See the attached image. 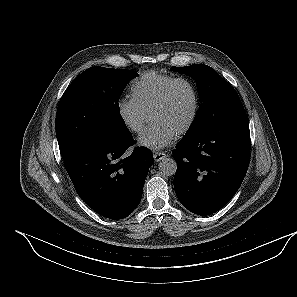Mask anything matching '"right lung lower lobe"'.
<instances>
[{"mask_svg": "<svg viewBox=\"0 0 297 297\" xmlns=\"http://www.w3.org/2000/svg\"><path fill=\"white\" fill-rule=\"evenodd\" d=\"M131 133L101 137L79 147L64 159L65 168L82 200L100 215L117 220L127 217L140 203L153 155L137 147Z\"/></svg>", "mask_w": 297, "mask_h": 297, "instance_id": "1", "label": "right lung lower lobe"}]
</instances>
